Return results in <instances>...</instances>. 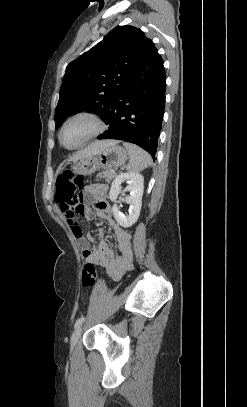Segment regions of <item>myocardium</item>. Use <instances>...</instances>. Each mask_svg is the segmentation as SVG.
Wrapping results in <instances>:
<instances>
[{
    "mask_svg": "<svg viewBox=\"0 0 247 407\" xmlns=\"http://www.w3.org/2000/svg\"><path fill=\"white\" fill-rule=\"evenodd\" d=\"M77 118H87L89 119L93 124H94V130L87 136L85 137L79 144L68 147L65 146L62 142V134L65 129V127L73 120ZM106 128V125L103 121V119L94 111L91 110H79L68 116L63 123L60 126L59 132H58V141L59 144L66 150H76L79 149L83 146H85L87 143L92 141L93 139L97 138L99 135H101Z\"/></svg>",
    "mask_w": 247,
    "mask_h": 407,
    "instance_id": "1",
    "label": "myocardium"
}]
</instances>
